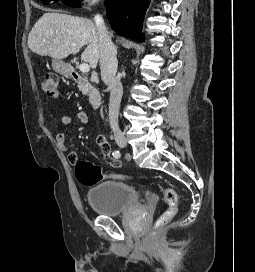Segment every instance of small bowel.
<instances>
[{
  "label": "small bowel",
  "instance_id": "c3829d8e",
  "mask_svg": "<svg viewBox=\"0 0 255 272\" xmlns=\"http://www.w3.org/2000/svg\"><path fill=\"white\" fill-rule=\"evenodd\" d=\"M76 117L79 124L85 125L88 123V115L86 112L79 111L76 114ZM60 122L65 126H69L72 124V118L69 115H62L60 117ZM66 138H67L66 132L64 131L59 132L56 135V142L59 148L62 150V152H64L67 155L68 160L71 163H75L78 159L77 153L74 150H72L68 145H66ZM96 143L99 145L101 149L104 160L108 162L115 170L118 169L120 167V162L114 156H112L113 154L111 150V145L107 138L104 135L100 134L96 137ZM106 177L112 178L110 174L107 175Z\"/></svg>",
  "mask_w": 255,
  "mask_h": 272
}]
</instances>
